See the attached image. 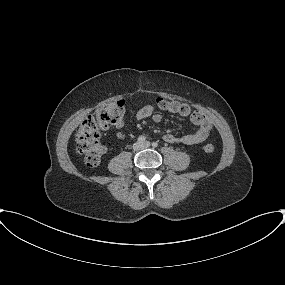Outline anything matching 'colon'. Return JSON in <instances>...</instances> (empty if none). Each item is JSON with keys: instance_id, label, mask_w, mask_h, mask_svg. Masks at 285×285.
I'll return each mask as SVG.
<instances>
[{"instance_id": "1", "label": "colon", "mask_w": 285, "mask_h": 285, "mask_svg": "<svg viewBox=\"0 0 285 285\" xmlns=\"http://www.w3.org/2000/svg\"><path fill=\"white\" fill-rule=\"evenodd\" d=\"M160 108L181 116H188L194 124L205 121L204 115L199 111H192L187 104L170 101L163 98L157 99ZM125 102L122 100L105 104L99 107L93 115H88L82 121L76 133L77 150L84 155L85 162L89 166H97L104 153L105 146L100 141L101 129L115 124L123 116ZM213 144H206L204 151L212 153Z\"/></svg>"}]
</instances>
